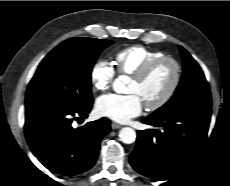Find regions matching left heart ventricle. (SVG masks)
I'll use <instances>...</instances> for the list:
<instances>
[{
  "mask_svg": "<svg viewBox=\"0 0 230 186\" xmlns=\"http://www.w3.org/2000/svg\"><path fill=\"white\" fill-rule=\"evenodd\" d=\"M173 79V67L163 63L143 82L133 79L128 86V92L137 94L144 104L157 101L168 89Z\"/></svg>",
  "mask_w": 230,
  "mask_h": 186,
  "instance_id": "obj_1",
  "label": "left heart ventricle"
}]
</instances>
